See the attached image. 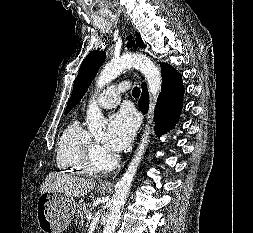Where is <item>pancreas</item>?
Listing matches in <instances>:
<instances>
[{
    "label": "pancreas",
    "mask_w": 253,
    "mask_h": 233,
    "mask_svg": "<svg viewBox=\"0 0 253 233\" xmlns=\"http://www.w3.org/2000/svg\"><path fill=\"white\" fill-rule=\"evenodd\" d=\"M92 209L90 207V204L82 203L79 205V210L76 214V221L81 220V222H85L86 215L91 213Z\"/></svg>",
    "instance_id": "1"
}]
</instances>
